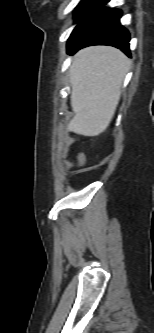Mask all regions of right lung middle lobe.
<instances>
[{
    "label": "right lung middle lobe",
    "mask_w": 154,
    "mask_h": 333,
    "mask_svg": "<svg viewBox=\"0 0 154 333\" xmlns=\"http://www.w3.org/2000/svg\"><path fill=\"white\" fill-rule=\"evenodd\" d=\"M103 0H82L75 10V18L78 25L74 29L75 32L80 28L88 18L93 14V12L99 8Z\"/></svg>",
    "instance_id": "1"
}]
</instances>
